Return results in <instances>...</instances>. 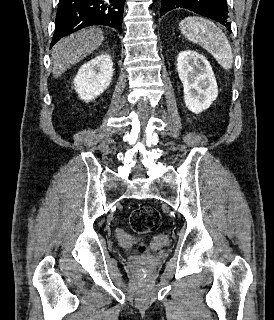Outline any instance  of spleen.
I'll use <instances>...</instances> for the list:
<instances>
[{"label":"spleen","mask_w":274,"mask_h":320,"mask_svg":"<svg viewBox=\"0 0 274 320\" xmlns=\"http://www.w3.org/2000/svg\"><path fill=\"white\" fill-rule=\"evenodd\" d=\"M180 30L181 34L188 38L190 42L199 44V46L208 50L224 70L232 68L233 54L231 46L225 34L220 28H217L216 24H213L210 20H205V18L190 16V18L182 20Z\"/></svg>","instance_id":"1"}]
</instances>
